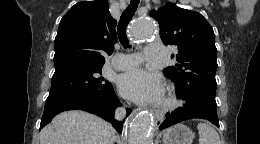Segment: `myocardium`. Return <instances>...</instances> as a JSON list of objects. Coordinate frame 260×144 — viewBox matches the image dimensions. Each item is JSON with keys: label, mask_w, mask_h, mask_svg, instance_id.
Returning <instances> with one entry per match:
<instances>
[{"label": "myocardium", "mask_w": 260, "mask_h": 144, "mask_svg": "<svg viewBox=\"0 0 260 144\" xmlns=\"http://www.w3.org/2000/svg\"><path fill=\"white\" fill-rule=\"evenodd\" d=\"M178 107V100L172 89H168L164 98H162L159 108L162 111L174 110Z\"/></svg>", "instance_id": "myocardium-1"}]
</instances>
